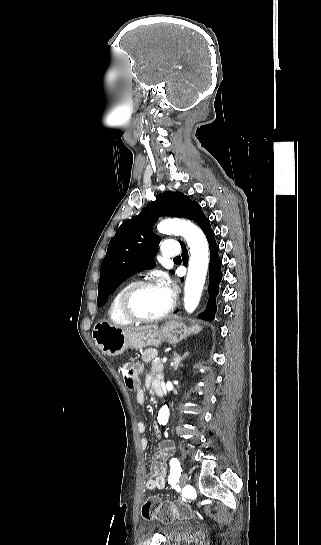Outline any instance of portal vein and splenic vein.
Listing matches in <instances>:
<instances>
[{
    "instance_id": "18ae733b",
    "label": "portal vein and splenic vein",
    "mask_w": 321,
    "mask_h": 545,
    "mask_svg": "<svg viewBox=\"0 0 321 545\" xmlns=\"http://www.w3.org/2000/svg\"><path fill=\"white\" fill-rule=\"evenodd\" d=\"M163 364H166V357H163Z\"/></svg>"
}]
</instances>
